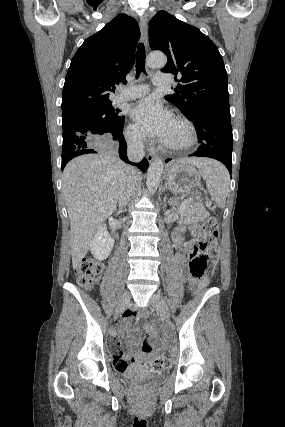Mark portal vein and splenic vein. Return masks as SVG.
I'll list each match as a JSON object with an SVG mask.
<instances>
[{
    "label": "portal vein and splenic vein",
    "instance_id": "portal-vein-and-splenic-vein-1",
    "mask_svg": "<svg viewBox=\"0 0 285 427\" xmlns=\"http://www.w3.org/2000/svg\"><path fill=\"white\" fill-rule=\"evenodd\" d=\"M191 199H188V200H186L185 202H188V201H190Z\"/></svg>",
    "mask_w": 285,
    "mask_h": 427
}]
</instances>
